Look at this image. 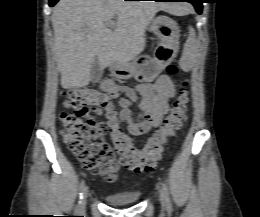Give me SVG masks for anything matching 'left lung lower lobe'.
<instances>
[{"label": "left lung lower lobe", "mask_w": 260, "mask_h": 217, "mask_svg": "<svg viewBox=\"0 0 260 217\" xmlns=\"http://www.w3.org/2000/svg\"><path fill=\"white\" fill-rule=\"evenodd\" d=\"M154 1H170V2H189L195 6L196 11L201 14L202 13V4L203 0H154Z\"/></svg>", "instance_id": "1"}]
</instances>
